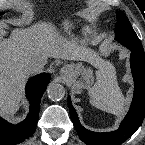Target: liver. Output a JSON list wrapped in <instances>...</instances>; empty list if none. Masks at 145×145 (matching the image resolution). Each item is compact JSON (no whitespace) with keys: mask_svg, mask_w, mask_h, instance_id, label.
Masks as SVG:
<instances>
[{"mask_svg":"<svg viewBox=\"0 0 145 145\" xmlns=\"http://www.w3.org/2000/svg\"><path fill=\"white\" fill-rule=\"evenodd\" d=\"M87 61L101 71L112 68L76 40L56 35L51 23H38L29 29H15L10 38L0 40V115L12 118L23 99V88L29 74L26 65L40 58Z\"/></svg>","mask_w":145,"mask_h":145,"instance_id":"1","label":"liver"}]
</instances>
